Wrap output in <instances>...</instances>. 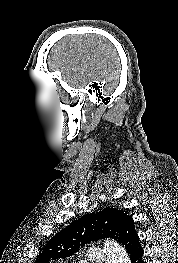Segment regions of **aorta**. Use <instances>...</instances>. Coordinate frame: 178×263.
Listing matches in <instances>:
<instances>
[{
    "label": "aorta",
    "mask_w": 178,
    "mask_h": 263,
    "mask_svg": "<svg viewBox=\"0 0 178 263\" xmlns=\"http://www.w3.org/2000/svg\"><path fill=\"white\" fill-rule=\"evenodd\" d=\"M104 248L108 263H131L125 249L114 240H106Z\"/></svg>",
    "instance_id": "obj_1"
}]
</instances>
